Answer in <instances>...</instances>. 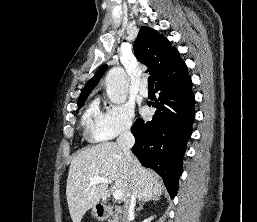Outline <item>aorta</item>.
Returning <instances> with one entry per match:
<instances>
[{
	"mask_svg": "<svg viewBox=\"0 0 257 222\" xmlns=\"http://www.w3.org/2000/svg\"><path fill=\"white\" fill-rule=\"evenodd\" d=\"M106 92L114 104L124 103L127 99L128 82L122 67L112 68L106 75Z\"/></svg>",
	"mask_w": 257,
	"mask_h": 222,
	"instance_id": "aorta-1",
	"label": "aorta"
}]
</instances>
